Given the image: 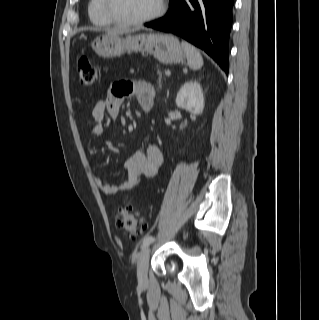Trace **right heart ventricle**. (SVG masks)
Masks as SVG:
<instances>
[{
  "label": "right heart ventricle",
  "mask_w": 319,
  "mask_h": 320,
  "mask_svg": "<svg viewBox=\"0 0 319 320\" xmlns=\"http://www.w3.org/2000/svg\"><path fill=\"white\" fill-rule=\"evenodd\" d=\"M88 13L91 21L96 26L107 27L115 24L106 16L103 9V0H90Z\"/></svg>",
  "instance_id": "1"
}]
</instances>
